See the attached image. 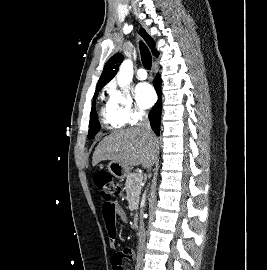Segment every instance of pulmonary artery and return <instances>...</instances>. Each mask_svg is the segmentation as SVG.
Instances as JSON below:
<instances>
[{"mask_svg": "<svg viewBox=\"0 0 267 270\" xmlns=\"http://www.w3.org/2000/svg\"><path fill=\"white\" fill-rule=\"evenodd\" d=\"M137 78L140 80H145L147 78V72L144 68L138 69Z\"/></svg>", "mask_w": 267, "mask_h": 270, "instance_id": "pulmonary-artery-1", "label": "pulmonary artery"}]
</instances>
